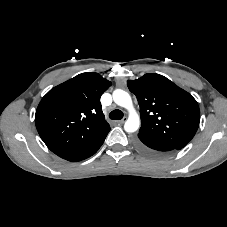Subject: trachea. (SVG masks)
I'll use <instances>...</instances> for the list:
<instances>
[{
	"label": "trachea",
	"mask_w": 227,
	"mask_h": 227,
	"mask_svg": "<svg viewBox=\"0 0 227 227\" xmlns=\"http://www.w3.org/2000/svg\"><path fill=\"white\" fill-rule=\"evenodd\" d=\"M109 118L113 119V120H119L123 118V112L121 110H113L112 112H110L109 114Z\"/></svg>",
	"instance_id": "3493384b"
}]
</instances>
